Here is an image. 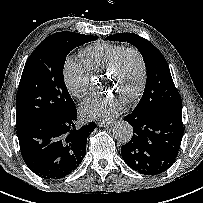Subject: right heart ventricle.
Returning a JSON list of instances; mask_svg holds the SVG:
<instances>
[{
	"instance_id": "obj_1",
	"label": "right heart ventricle",
	"mask_w": 203,
	"mask_h": 203,
	"mask_svg": "<svg viewBox=\"0 0 203 203\" xmlns=\"http://www.w3.org/2000/svg\"><path fill=\"white\" fill-rule=\"evenodd\" d=\"M123 48L121 44L98 42L82 49L79 55L89 73L96 74L105 71Z\"/></svg>"
}]
</instances>
